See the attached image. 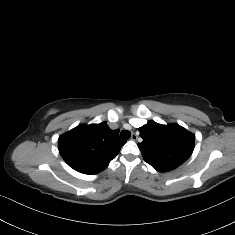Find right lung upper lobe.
Returning <instances> with one entry per match:
<instances>
[{
  "label": "right lung upper lobe",
  "instance_id": "cb5924a9",
  "mask_svg": "<svg viewBox=\"0 0 235 235\" xmlns=\"http://www.w3.org/2000/svg\"><path fill=\"white\" fill-rule=\"evenodd\" d=\"M124 144L119 130H111L106 122L79 125L58 139L59 153L64 161L84 174L105 170Z\"/></svg>",
  "mask_w": 235,
  "mask_h": 235
}]
</instances>
